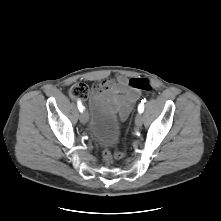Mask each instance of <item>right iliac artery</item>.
Here are the masks:
<instances>
[{
  "label": "right iliac artery",
  "instance_id": "right-iliac-artery-1",
  "mask_svg": "<svg viewBox=\"0 0 221 221\" xmlns=\"http://www.w3.org/2000/svg\"><path fill=\"white\" fill-rule=\"evenodd\" d=\"M78 109L80 112H83V110H84V106L81 104L80 101H78Z\"/></svg>",
  "mask_w": 221,
  "mask_h": 221
}]
</instances>
